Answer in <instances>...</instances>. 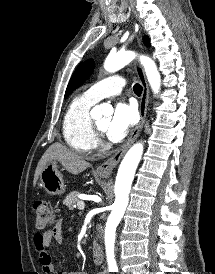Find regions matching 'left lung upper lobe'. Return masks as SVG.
<instances>
[{"label":"left lung upper lobe","instance_id":"5c2ea615","mask_svg":"<svg viewBox=\"0 0 215 274\" xmlns=\"http://www.w3.org/2000/svg\"><path fill=\"white\" fill-rule=\"evenodd\" d=\"M143 41L145 45L147 46L150 45L149 38L147 36L143 37ZM93 70H94L93 60H87L79 64V66L76 68L73 76L71 77L68 83L64 98H67V96L72 91H74L79 86H81L86 81V79L93 73Z\"/></svg>","mask_w":215,"mask_h":274}]
</instances>
